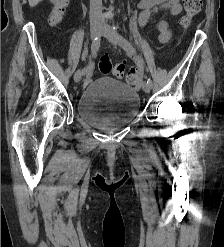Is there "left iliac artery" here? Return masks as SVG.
Wrapping results in <instances>:
<instances>
[{
    "mask_svg": "<svg viewBox=\"0 0 224 247\" xmlns=\"http://www.w3.org/2000/svg\"><path fill=\"white\" fill-rule=\"evenodd\" d=\"M117 25H113V29L115 31H117ZM120 37V45L121 47L126 50L128 53L130 54H135V49L134 47L124 38L122 37L121 35H119ZM147 83L152 87L153 83H152V80L150 78L147 79Z\"/></svg>",
    "mask_w": 224,
    "mask_h": 247,
    "instance_id": "44dca946",
    "label": "left iliac artery"
}]
</instances>
